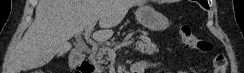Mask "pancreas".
<instances>
[{
	"label": "pancreas",
	"instance_id": "obj_1",
	"mask_svg": "<svg viewBox=\"0 0 244 73\" xmlns=\"http://www.w3.org/2000/svg\"><path fill=\"white\" fill-rule=\"evenodd\" d=\"M140 40L136 42L135 50L139 51L145 55H154L159 52L157 45H155L148 37L141 36ZM112 45L116 46V43H112ZM107 48H101L99 51H93L92 59L96 62L97 65H101L106 63L105 59L107 58ZM104 58V59H103Z\"/></svg>",
	"mask_w": 244,
	"mask_h": 73
}]
</instances>
